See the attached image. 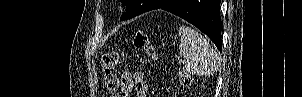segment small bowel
I'll return each instance as SVG.
<instances>
[{"instance_id":"obj_1","label":"small bowel","mask_w":302,"mask_h":97,"mask_svg":"<svg viewBox=\"0 0 302 97\" xmlns=\"http://www.w3.org/2000/svg\"><path fill=\"white\" fill-rule=\"evenodd\" d=\"M147 97L148 86L140 71H125L121 77L120 92L115 97Z\"/></svg>"}]
</instances>
